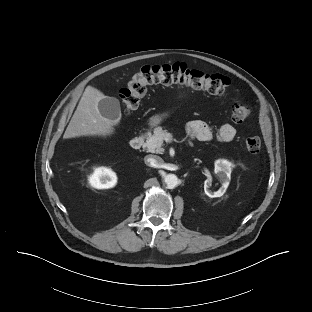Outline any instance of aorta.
Returning a JSON list of instances; mask_svg holds the SVG:
<instances>
[{"label": "aorta", "instance_id": "obj_1", "mask_svg": "<svg viewBox=\"0 0 312 312\" xmlns=\"http://www.w3.org/2000/svg\"><path fill=\"white\" fill-rule=\"evenodd\" d=\"M164 182L168 189H174L178 185L179 179L175 174H167L164 176Z\"/></svg>", "mask_w": 312, "mask_h": 312}]
</instances>
